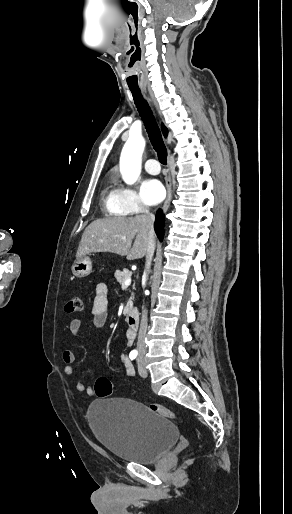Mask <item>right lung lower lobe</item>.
Listing matches in <instances>:
<instances>
[{
	"label": "right lung lower lobe",
	"mask_w": 292,
	"mask_h": 514,
	"mask_svg": "<svg viewBox=\"0 0 292 514\" xmlns=\"http://www.w3.org/2000/svg\"><path fill=\"white\" fill-rule=\"evenodd\" d=\"M164 223H165L164 214H163L162 210L159 209L156 213L154 228H155V232H156L158 238L160 239V241H162V239L164 237Z\"/></svg>",
	"instance_id": "1"
}]
</instances>
